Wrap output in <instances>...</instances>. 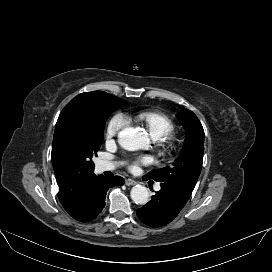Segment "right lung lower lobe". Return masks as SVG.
<instances>
[{
	"label": "right lung lower lobe",
	"instance_id": "obj_1",
	"mask_svg": "<svg viewBox=\"0 0 272 272\" xmlns=\"http://www.w3.org/2000/svg\"><path fill=\"white\" fill-rule=\"evenodd\" d=\"M123 184L124 180L120 176L108 178L103 175H95L78 207L68 213L80 222H88L95 219L105 206L106 192L109 188Z\"/></svg>",
	"mask_w": 272,
	"mask_h": 272
}]
</instances>
